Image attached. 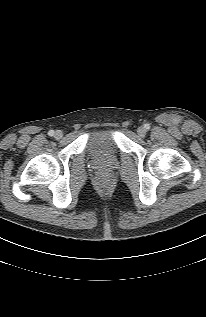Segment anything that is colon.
Wrapping results in <instances>:
<instances>
[{
  "mask_svg": "<svg viewBox=\"0 0 206 317\" xmlns=\"http://www.w3.org/2000/svg\"><path fill=\"white\" fill-rule=\"evenodd\" d=\"M97 184L101 188H107L111 184V180L107 176H102L98 179Z\"/></svg>",
  "mask_w": 206,
  "mask_h": 317,
  "instance_id": "obj_1",
  "label": "colon"
}]
</instances>
